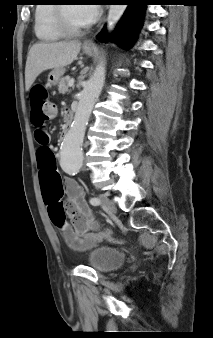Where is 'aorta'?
I'll return each mask as SVG.
<instances>
[{
	"mask_svg": "<svg viewBox=\"0 0 213 338\" xmlns=\"http://www.w3.org/2000/svg\"><path fill=\"white\" fill-rule=\"evenodd\" d=\"M126 5H110L107 27L111 31L122 17ZM105 65H97L93 75L85 84L79 96L74 120L66 134L60 151V165L68 174L77 173L83 165V139L92 109L105 82Z\"/></svg>",
	"mask_w": 213,
	"mask_h": 338,
	"instance_id": "aorta-1",
	"label": "aorta"
}]
</instances>
